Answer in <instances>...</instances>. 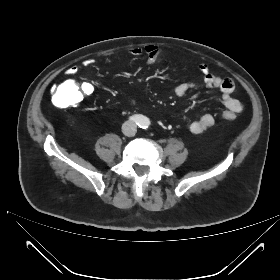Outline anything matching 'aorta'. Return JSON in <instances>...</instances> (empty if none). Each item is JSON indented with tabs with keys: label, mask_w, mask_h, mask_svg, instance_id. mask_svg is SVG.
Segmentation results:
<instances>
[{
	"label": "aorta",
	"mask_w": 280,
	"mask_h": 280,
	"mask_svg": "<svg viewBox=\"0 0 280 280\" xmlns=\"http://www.w3.org/2000/svg\"><path fill=\"white\" fill-rule=\"evenodd\" d=\"M144 125H148L149 124V120L148 118H144V122H143Z\"/></svg>",
	"instance_id": "762f6f07"
}]
</instances>
